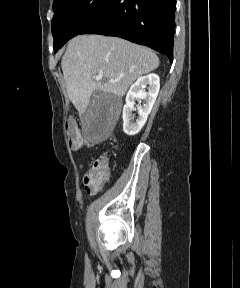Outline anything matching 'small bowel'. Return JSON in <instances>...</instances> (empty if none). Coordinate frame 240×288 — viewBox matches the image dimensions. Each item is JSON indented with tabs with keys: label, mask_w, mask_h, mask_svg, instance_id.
I'll list each match as a JSON object with an SVG mask.
<instances>
[{
	"label": "small bowel",
	"mask_w": 240,
	"mask_h": 288,
	"mask_svg": "<svg viewBox=\"0 0 240 288\" xmlns=\"http://www.w3.org/2000/svg\"><path fill=\"white\" fill-rule=\"evenodd\" d=\"M75 150H78V149H75ZM78 166H79V168H81V169H83V168H85V166H84V164H82V163H78Z\"/></svg>",
	"instance_id": "small-bowel-1"
}]
</instances>
